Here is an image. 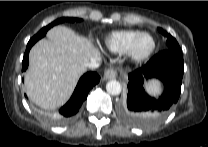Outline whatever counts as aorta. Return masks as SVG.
Returning a JSON list of instances; mask_svg holds the SVG:
<instances>
[{
	"instance_id": "1",
	"label": "aorta",
	"mask_w": 208,
	"mask_h": 147,
	"mask_svg": "<svg viewBox=\"0 0 208 147\" xmlns=\"http://www.w3.org/2000/svg\"><path fill=\"white\" fill-rule=\"evenodd\" d=\"M121 84L116 81V80H110L107 84H106V90L109 94L111 95H118L121 93Z\"/></svg>"
}]
</instances>
